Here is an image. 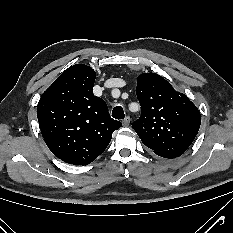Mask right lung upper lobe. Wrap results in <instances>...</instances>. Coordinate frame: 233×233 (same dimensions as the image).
I'll use <instances>...</instances> for the list:
<instances>
[{
  "mask_svg": "<svg viewBox=\"0 0 233 233\" xmlns=\"http://www.w3.org/2000/svg\"><path fill=\"white\" fill-rule=\"evenodd\" d=\"M95 71L84 64L66 69L43 93L37 118L44 141L59 159L88 165L109 145L122 124L112 119L103 99L93 94Z\"/></svg>",
  "mask_w": 233,
  "mask_h": 233,
  "instance_id": "obj_1",
  "label": "right lung upper lobe"
}]
</instances>
